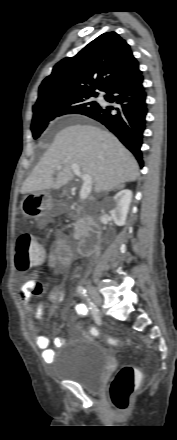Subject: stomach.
<instances>
[{
    "mask_svg": "<svg viewBox=\"0 0 177 440\" xmlns=\"http://www.w3.org/2000/svg\"><path fill=\"white\" fill-rule=\"evenodd\" d=\"M22 213L36 221L48 222L59 213V207L45 191L32 192L26 195L20 205Z\"/></svg>",
    "mask_w": 177,
    "mask_h": 440,
    "instance_id": "1",
    "label": "stomach"
}]
</instances>
